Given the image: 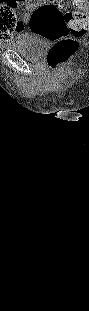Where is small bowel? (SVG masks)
Masks as SVG:
<instances>
[{"mask_svg":"<svg viewBox=\"0 0 89 311\" xmlns=\"http://www.w3.org/2000/svg\"><path fill=\"white\" fill-rule=\"evenodd\" d=\"M15 34H18L16 39L17 40H23L24 37H25V34L21 31V24L19 26H17L16 29H14L12 32H9V33H3L2 34V37L4 39L8 38V37H12L14 36Z\"/></svg>","mask_w":89,"mask_h":311,"instance_id":"c3829d8e","label":"small bowel"}]
</instances>
